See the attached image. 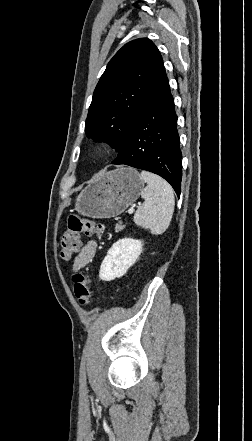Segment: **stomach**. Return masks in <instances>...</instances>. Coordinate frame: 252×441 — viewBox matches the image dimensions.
Wrapping results in <instances>:
<instances>
[{"mask_svg":"<svg viewBox=\"0 0 252 441\" xmlns=\"http://www.w3.org/2000/svg\"><path fill=\"white\" fill-rule=\"evenodd\" d=\"M144 181L133 168L120 167L104 173L77 197L76 210L91 218L120 215L140 196Z\"/></svg>","mask_w":252,"mask_h":441,"instance_id":"1","label":"stomach"}]
</instances>
